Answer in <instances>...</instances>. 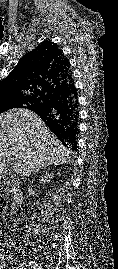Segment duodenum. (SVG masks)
<instances>
[{"instance_id":"duodenum-1","label":"duodenum","mask_w":118,"mask_h":269,"mask_svg":"<svg viewBox=\"0 0 118 269\" xmlns=\"http://www.w3.org/2000/svg\"><path fill=\"white\" fill-rule=\"evenodd\" d=\"M2 183V178H1V176H0V184ZM1 214V213H0Z\"/></svg>"}]
</instances>
